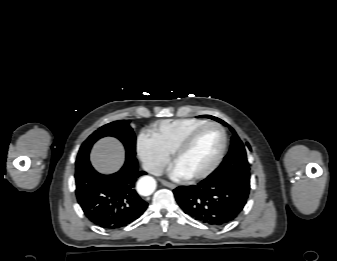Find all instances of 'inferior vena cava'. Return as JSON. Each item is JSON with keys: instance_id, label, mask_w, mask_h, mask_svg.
I'll use <instances>...</instances> for the list:
<instances>
[{"instance_id": "obj_1", "label": "inferior vena cava", "mask_w": 337, "mask_h": 261, "mask_svg": "<svg viewBox=\"0 0 337 261\" xmlns=\"http://www.w3.org/2000/svg\"><path fill=\"white\" fill-rule=\"evenodd\" d=\"M142 167L144 171L152 175L160 176L163 174V167L161 165L152 164V163H144Z\"/></svg>"}]
</instances>
